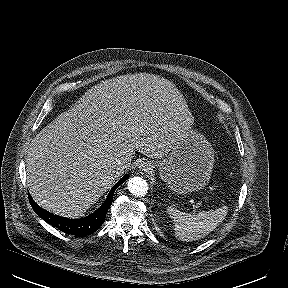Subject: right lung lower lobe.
<instances>
[{
    "instance_id": "right-lung-lower-lobe-1",
    "label": "right lung lower lobe",
    "mask_w": 288,
    "mask_h": 288,
    "mask_svg": "<svg viewBox=\"0 0 288 288\" xmlns=\"http://www.w3.org/2000/svg\"><path fill=\"white\" fill-rule=\"evenodd\" d=\"M129 178V175H124L111 189L108 197L102 206L90 216L81 219H67L53 215L42 209L35 203L29 195V201L34 211L47 223L57 227L67 234L84 237L94 233L105 221L106 213L112 204V198L115 190Z\"/></svg>"
}]
</instances>
